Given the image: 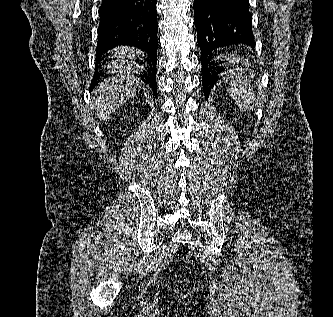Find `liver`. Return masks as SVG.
Listing matches in <instances>:
<instances>
[{
	"label": "liver",
	"mask_w": 333,
	"mask_h": 317,
	"mask_svg": "<svg viewBox=\"0 0 333 317\" xmlns=\"http://www.w3.org/2000/svg\"><path fill=\"white\" fill-rule=\"evenodd\" d=\"M116 61L110 67L116 75L104 79L93 90L91 100L92 108L100 120H107L116 109L134 97L140 81L134 76L137 71L143 69L135 62L126 58L141 55L142 52L132 47H118L112 50Z\"/></svg>",
	"instance_id": "1"
}]
</instances>
